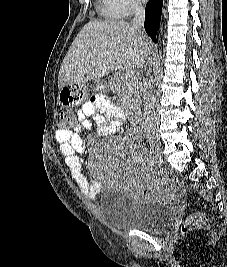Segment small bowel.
I'll return each mask as SVG.
<instances>
[{
  "label": "small bowel",
  "instance_id": "obj_1",
  "mask_svg": "<svg viewBox=\"0 0 227 267\" xmlns=\"http://www.w3.org/2000/svg\"><path fill=\"white\" fill-rule=\"evenodd\" d=\"M76 118L77 122L72 129H57L56 141L66 166L82 194L87 198H95L99 193L100 184L90 179L82 169L80 153L86 148L82 137L94 125L103 136L115 134L123 124L124 114L121 108L106 96L97 95L78 109ZM137 191L143 197H150L155 193L154 188L147 184H139Z\"/></svg>",
  "mask_w": 227,
  "mask_h": 267
}]
</instances>
